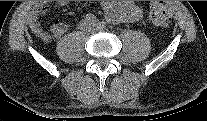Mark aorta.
<instances>
[{"label":"aorta","instance_id":"obj_1","mask_svg":"<svg viewBox=\"0 0 207 121\" xmlns=\"http://www.w3.org/2000/svg\"><path fill=\"white\" fill-rule=\"evenodd\" d=\"M125 9H122V10H117L118 12H116V21H119V22H123L127 19V13L126 11H124Z\"/></svg>","mask_w":207,"mask_h":121}]
</instances>
